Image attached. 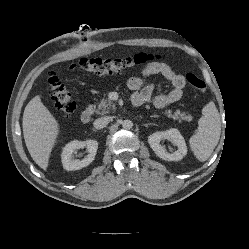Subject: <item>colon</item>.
Masks as SVG:
<instances>
[{
    "label": "colon",
    "mask_w": 249,
    "mask_h": 249,
    "mask_svg": "<svg viewBox=\"0 0 249 249\" xmlns=\"http://www.w3.org/2000/svg\"><path fill=\"white\" fill-rule=\"evenodd\" d=\"M155 58L153 55L144 53L128 58H83L72 64L70 68L98 75L123 73L133 67L151 62ZM186 80L196 90L203 91L206 88L204 80L194 73L186 74ZM47 87L61 116L65 120H69L76 105L70 91L56 72H52L49 75Z\"/></svg>",
    "instance_id": "1"
}]
</instances>
